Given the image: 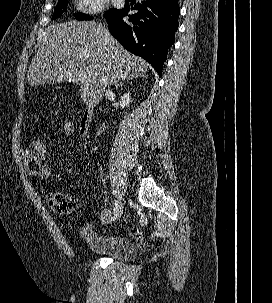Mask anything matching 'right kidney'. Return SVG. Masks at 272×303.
Segmentation results:
<instances>
[{
    "instance_id": "ca27d5eb",
    "label": "right kidney",
    "mask_w": 272,
    "mask_h": 303,
    "mask_svg": "<svg viewBox=\"0 0 272 303\" xmlns=\"http://www.w3.org/2000/svg\"><path fill=\"white\" fill-rule=\"evenodd\" d=\"M130 102H131V100H130V93H129V92H128V93H125V94L121 97V100H120L121 107H122V108L128 107ZM93 150H94V151L97 150V147H95Z\"/></svg>"
}]
</instances>
